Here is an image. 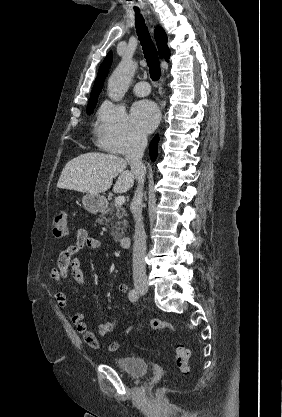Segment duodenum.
Instances as JSON below:
<instances>
[{
  "label": "duodenum",
  "instance_id": "1",
  "mask_svg": "<svg viewBox=\"0 0 282 417\" xmlns=\"http://www.w3.org/2000/svg\"><path fill=\"white\" fill-rule=\"evenodd\" d=\"M131 237L129 235H124L120 238L119 243L123 249H127L130 243Z\"/></svg>",
  "mask_w": 282,
  "mask_h": 417
}]
</instances>
